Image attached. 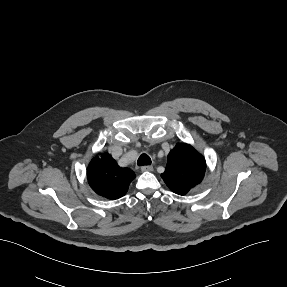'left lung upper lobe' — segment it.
I'll return each instance as SVG.
<instances>
[{"mask_svg": "<svg viewBox=\"0 0 287 287\" xmlns=\"http://www.w3.org/2000/svg\"><path fill=\"white\" fill-rule=\"evenodd\" d=\"M167 160L165 172L161 177L174 193L185 195L202 181L206 162L191 145L177 144L168 154Z\"/></svg>", "mask_w": 287, "mask_h": 287, "instance_id": "left-lung-upper-lobe-1", "label": "left lung upper lobe"}]
</instances>
